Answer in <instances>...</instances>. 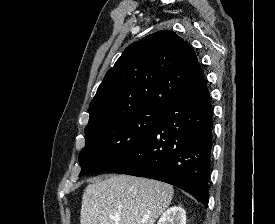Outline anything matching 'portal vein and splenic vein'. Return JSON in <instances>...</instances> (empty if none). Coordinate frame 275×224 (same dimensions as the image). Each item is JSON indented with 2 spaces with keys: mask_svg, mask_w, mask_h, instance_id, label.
<instances>
[{
  "mask_svg": "<svg viewBox=\"0 0 275 224\" xmlns=\"http://www.w3.org/2000/svg\"><path fill=\"white\" fill-rule=\"evenodd\" d=\"M113 219H114L115 221H119V218H118V217H113Z\"/></svg>",
  "mask_w": 275,
  "mask_h": 224,
  "instance_id": "18ae733b",
  "label": "portal vein and splenic vein"
}]
</instances>
